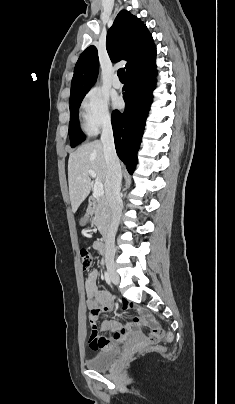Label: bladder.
<instances>
[{"label": "bladder", "mask_w": 235, "mask_h": 404, "mask_svg": "<svg viewBox=\"0 0 235 404\" xmlns=\"http://www.w3.org/2000/svg\"><path fill=\"white\" fill-rule=\"evenodd\" d=\"M120 358L121 349L119 347H102L86 363L92 370L106 371L118 362Z\"/></svg>", "instance_id": "31cf9c89"}]
</instances>
